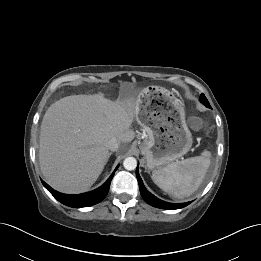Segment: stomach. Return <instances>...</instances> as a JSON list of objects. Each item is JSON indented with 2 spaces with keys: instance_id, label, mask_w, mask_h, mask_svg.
I'll use <instances>...</instances> for the list:
<instances>
[{
  "instance_id": "0dacf381",
  "label": "stomach",
  "mask_w": 261,
  "mask_h": 261,
  "mask_svg": "<svg viewBox=\"0 0 261 261\" xmlns=\"http://www.w3.org/2000/svg\"><path fill=\"white\" fill-rule=\"evenodd\" d=\"M135 117L147 134L140 150L149 170L170 164L191 149L193 139L185 111L172 91L160 86L144 89Z\"/></svg>"
}]
</instances>
